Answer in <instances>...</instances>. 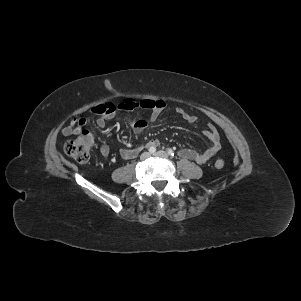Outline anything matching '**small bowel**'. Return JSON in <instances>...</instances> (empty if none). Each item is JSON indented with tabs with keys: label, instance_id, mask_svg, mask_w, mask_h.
Segmentation results:
<instances>
[{
	"label": "small bowel",
	"instance_id": "small-bowel-1",
	"mask_svg": "<svg viewBox=\"0 0 301 301\" xmlns=\"http://www.w3.org/2000/svg\"><path fill=\"white\" fill-rule=\"evenodd\" d=\"M165 107V102L161 100L136 101L125 99L120 101L116 105L105 104L96 106L92 109V113L98 116L96 119V125L99 128H104L107 121L113 119L120 111H132L135 109L149 110L150 116L148 119L129 121V125L134 130V132L137 135H141L150 123H153L157 120ZM176 113L189 123H194L196 120L195 116L189 114L182 108H177ZM88 121V118H74L73 120H71L69 125L65 126L62 129V134L65 136L78 134L81 132L82 128L87 124ZM202 133L203 136L210 142V146L202 152L191 148H182L179 150V155L181 157L195 161L198 164H204L220 150V136L214 126L210 125L209 128L203 130ZM158 145V140L151 139L144 144H140L136 147L124 148L120 151V154L124 159H132L137 156L138 152L143 146L157 147ZM100 152L104 158H107L110 154L109 146L107 144H103L100 148Z\"/></svg>",
	"mask_w": 301,
	"mask_h": 301
}]
</instances>
